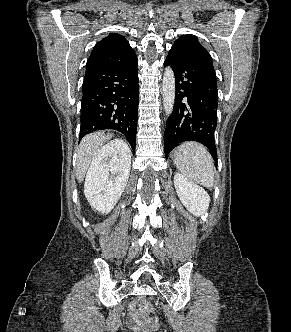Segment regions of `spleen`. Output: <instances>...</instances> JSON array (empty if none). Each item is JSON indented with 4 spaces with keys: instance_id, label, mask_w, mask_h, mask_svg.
Returning a JSON list of instances; mask_svg holds the SVG:
<instances>
[{
    "instance_id": "spleen-1",
    "label": "spleen",
    "mask_w": 291,
    "mask_h": 332,
    "mask_svg": "<svg viewBox=\"0 0 291 332\" xmlns=\"http://www.w3.org/2000/svg\"><path fill=\"white\" fill-rule=\"evenodd\" d=\"M173 160L179 171L190 181L208 188L214 186V162L203 145L185 142L177 147Z\"/></svg>"
}]
</instances>
